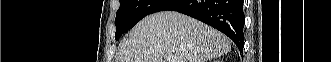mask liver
I'll use <instances>...</instances> for the list:
<instances>
[{"mask_svg":"<svg viewBox=\"0 0 331 62\" xmlns=\"http://www.w3.org/2000/svg\"><path fill=\"white\" fill-rule=\"evenodd\" d=\"M230 40L210 26L178 12H159L142 19L120 44L116 62H207L227 54Z\"/></svg>","mask_w":331,"mask_h":62,"instance_id":"obj_1","label":"liver"}]
</instances>
